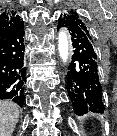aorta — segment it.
Wrapping results in <instances>:
<instances>
[{
    "mask_svg": "<svg viewBox=\"0 0 117 136\" xmlns=\"http://www.w3.org/2000/svg\"><path fill=\"white\" fill-rule=\"evenodd\" d=\"M58 51L60 58L66 63L69 57V41L67 32L64 29H61L58 34Z\"/></svg>",
    "mask_w": 117,
    "mask_h": 136,
    "instance_id": "obj_1",
    "label": "aorta"
}]
</instances>
